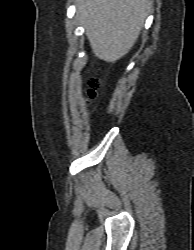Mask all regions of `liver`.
<instances>
[{"instance_id":"liver-1","label":"liver","mask_w":194,"mask_h":250,"mask_svg":"<svg viewBox=\"0 0 194 250\" xmlns=\"http://www.w3.org/2000/svg\"><path fill=\"white\" fill-rule=\"evenodd\" d=\"M77 18L94 55L115 63L135 44L150 0H77Z\"/></svg>"}]
</instances>
